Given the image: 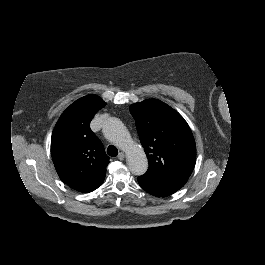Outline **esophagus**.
<instances>
[{
    "instance_id": "1",
    "label": "esophagus",
    "mask_w": 265,
    "mask_h": 265,
    "mask_svg": "<svg viewBox=\"0 0 265 265\" xmlns=\"http://www.w3.org/2000/svg\"><path fill=\"white\" fill-rule=\"evenodd\" d=\"M117 158H118L120 161L124 160V153H123V152H120V153L118 154Z\"/></svg>"
}]
</instances>
